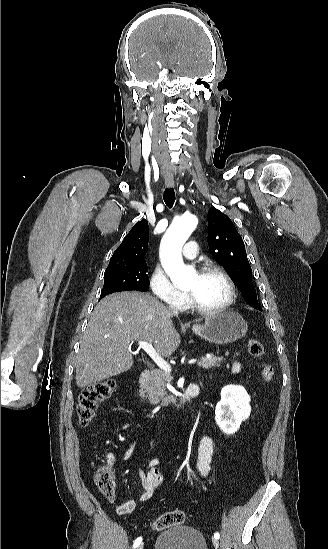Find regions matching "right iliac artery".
Returning a JSON list of instances; mask_svg holds the SVG:
<instances>
[{"label":"right iliac artery","instance_id":"1","mask_svg":"<svg viewBox=\"0 0 328 549\" xmlns=\"http://www.w3.org/2000/svg\"><path fill=\"white\" fill-rule=\"evenodd\" d=\"M141 542H142V537H138L134 542L133 548H136L137 546H139Z\"/></svg>","mask_w":328,"mask_h":549}]
</instances>
